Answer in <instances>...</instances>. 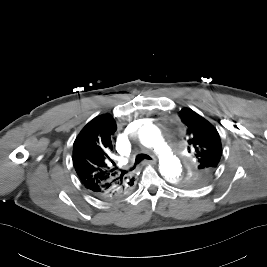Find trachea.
Here are the masks:
<instances>
[{"label":"trachea","mask_w":267,"mask_h":267,"mask_svg":"<svg viewBox=\"0 0 267 267\" xmlns=\"http://www.w3.org/2000/svg\"><path fill=\"white\" fill-rule=\"evenodd\" d=\"M143 160H152V158L149 156V155H147V154H138L137 156H136V158H135V166L137 165V164H139L141 161H143ZM134 166V167H135ZM124 173H126V171H123Z\"/></svg>","instance_id":"obj_1"}]
</instances>
